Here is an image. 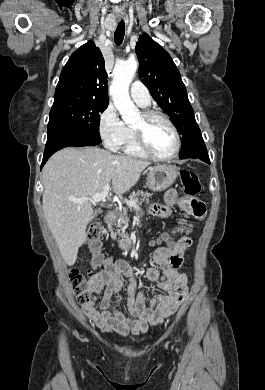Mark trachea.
<instances>
[{
  "instance_id": "3493384b",
  "label": "trachea",
  "mask_w": 265,
  "mask_h": 390,
  "mask_svg": "<svg viewBox=\"0 0 265 390\" xmlns=\"http://www.w3.org/2000/svg\"><path fill=\"white\" fill-rule=\"evenodd\" d=\"M124 34H125V24H124V21L121 20L118 23L117 29H116L115 34H114V40H115V43L117 45H120L122 43L123 38H124Z\"/></svg>"
}]
</instances>
